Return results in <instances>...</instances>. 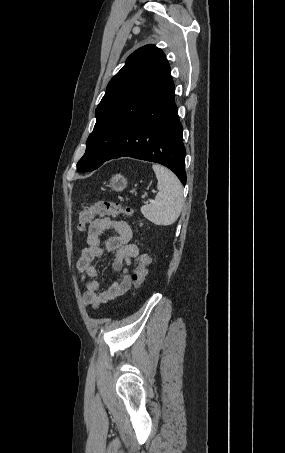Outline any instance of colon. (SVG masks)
<instances>
[{
	"label": "colon",
	"mask_w": 285,
	"mask_h": 453,
	"mask_svg": "<svg viewBox=\"0 0 285 453\" xmlns=\"http://www.w3.org/2000/svg\"><path fill=\"white\" fill-rule=\"evenodd\" d=\"M123 214L127 217L133 216L130 207H123L118 202L101 200L95 205L83 208L78 215V229L84 231L91 220L97 216H118ZM150 258L146 253H142L135 260V268L132 274L133 293H135L145 282L148 274Z\"/></svg>",
	"instance_id": "colon-1"
}]
</instances>
